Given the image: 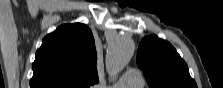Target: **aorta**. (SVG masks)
<instances>
[{"mask_svg": "<svg viewBox=\"0 0 223 88\" xmlns=\"http://www.w3.org/2000/svg\"><path fill=\"white\" fill-rule=\"evenodd\" d=\"M134 53V43L128 38H117L108 47L106 64L109 71L116 75L130 61Z\"/></svg>", "mask_w": 223, "mask_h": 88, "instance_id": "762f6f07", "label": "aorta"}]
</instances>
